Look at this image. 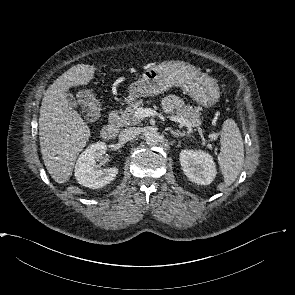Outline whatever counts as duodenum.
<instances>
[{"mask_svg":"<svg viewBox=\"0 0 295 295\" xmlns=\"http://www.w3.org/2000/svg\"><path fill=\"white\" fill-rule=\"evenodd\" d=\"M118 132V119L115 112H112L109 117V123L102 129L101 136L105 140H112Z\"/></svg>","mask_w":295,"mask_h":295,"instance_id":"1","label":"duodenum"}]
</instances>
